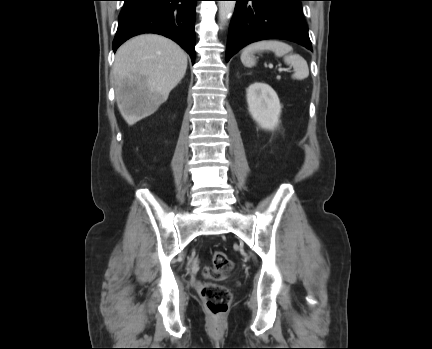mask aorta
Masks as SVG:
<instances>
[{
  "mask_svg": "<svg viewBox=\"0 0 432 349\" xmlns=\"http://www.w3.org/2000/svg\"><path fill=\"white\" fill-rule=\"evenodd\" d=\"M235 1H219V22L221 26L226 25L228 20L231 18L234 9H235Z\"/></svg>",
  "mask_w": 432,
  "mask_h": 349,
  "instance_id": "aorta-1",
  "label": "aorta"
}]
</instances>
